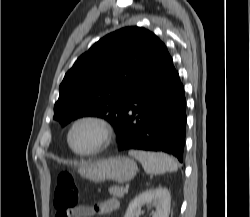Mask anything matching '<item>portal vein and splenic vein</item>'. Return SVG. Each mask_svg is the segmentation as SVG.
Masks as SVG:
<instances>
[{
	"instance_id": "portal-vein-and-splenic-vein-1",
	"label": "portal vein and splenic vein",
	"mask_w": 250,
	"mask_h": 217,
	"mask_svg": "<svg viewBox=\"0 0 250 217\" xmlns=\"http://www.w3.org/2000/svg\"><path fill=\"white\" fill-rule=\"evenodd\" d=\"M124 190H125V192H128V186H126Z\"/></svg>"
}]
</instances>
